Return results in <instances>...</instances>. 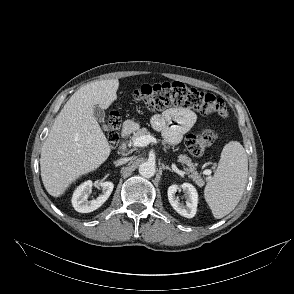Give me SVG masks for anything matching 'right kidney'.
<instances>
[{
  "mask_svg": "<svg viewBox=\"0 0 294 294\" xmlns=\"http://www.w3.org/2000/svg\"><path fill=\"white\" fill-rule=\"evenodd\" d=\"M92 186V181L88 180L79 185L74 191L72 205L77 212L89 213L98 209L109 198L114 188V184L110 181L101 182L99 186L102 188V194L96 199L89 200V190Z\"/></svg>",
  "mask_w": 294,
  "mask_h": 294,
  "instance_id": "obj_1",
  "label": "right kidney"
}]
</instances>
